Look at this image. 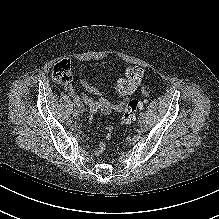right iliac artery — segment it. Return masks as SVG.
<instances>
[{"label":"right iliac artery","mask_w":219,"mask_h":219,"mask_svg":"<svg viewBox=\"0 0 219 219\" xmlns=\"http://www.w3.org/2000/svg\"><path fill=\"white\" fill-rule=\"evenodd\" d=\"M73 104H74V106L82 109V105L79 104L77 100H73Z\"/></svg>","instance_id":"1"}]
</instances>
